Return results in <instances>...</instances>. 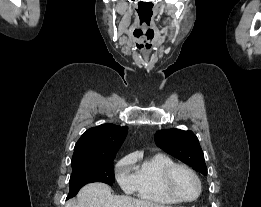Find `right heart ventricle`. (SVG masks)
<instances>
[{"mask_svg":"<svg viewBox=\"0 0 261 207\" xmlns=\"http://www.w3.org/2000/svg\"><path fill=\"white\" fill-rule=\"evenodd\" d=\"M132 162L136 165V188L138 198L165 205L176 203L164 190L163 174L171 165L175 164L169 156L156 153L146 157L132 156Z\"/></svg>","mask_w":261,"mask_h":207,"instance_id":"e07e8e85","label":"right heart ventricle"}]
</instances>
